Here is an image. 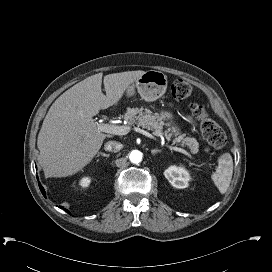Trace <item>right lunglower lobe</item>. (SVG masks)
I'll use <instances>...</instances> for the list:
<instances>
[{"instance_id": "98d812e1", "label": "right lung lower lobe", "mask_w": 272, "mask_h": 272, "mask_svg": "<svg viewBox=\"0 0 272 272\" xmlns=\"http://www.w3.org/2000/svg\"><path fill=\"white\" fill-rule=\"evenodd\" d=\"M39 186H40V190H41V192H42V194L44 195V197H45V191H44V188L41 186V184L39 183ZM60 208H62L61 206H60ZM67 213H69V211L68 210H65ZM70 214V213H69Z\"/></svg>"}]
</instances>
